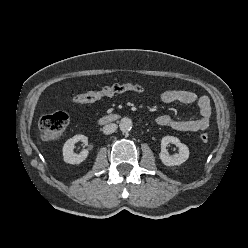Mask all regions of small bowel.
Returning a JSON list of instances; mask_svg holds the SVG:
<instances>
[{
    "instance_id": "small-bowel-1",
    "label": "small bowel",
    "mask_w": 248,
    "mask_h": 248,
    "mask_svg": "<svg viewBox=\"0 0 248 248\" xmlns=\"http://www.w3.org/2000/svg\"><path fill=\"white\" fill-rule=\"evenodd\" d=\"M160 99L165 104L196 103L199 109L200 117L197 119L180 120L163 114L156 118V123L158 125L168 126L181 132L202 131L209 127L212 116V108L210 99L207 96H198L196 93L188 90H166L161 93Z\"/></svg>"
}]
</instances>
